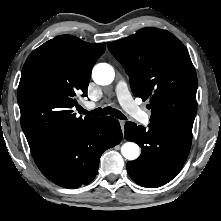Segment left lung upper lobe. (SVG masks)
Instances as JSON below:
<instances>
[{
	"mask_svg": "<svg viewBox=\"0 0 221 221\" xmlns=\"http://www.w3.org/2000/svg\"><path fill=\"white\" fill-rule=\"evenodd\" d=\"M108 48L129 75L133 94L150 100V123L192 138L197 76L183 43L166 30L147 27Z\"/></svg>",
	"mask_w": 221,
	"mask_h": 221,
	"instance_id": "5c2ea615",
	"label": "left lung upper lobe"
}]
</instances>
